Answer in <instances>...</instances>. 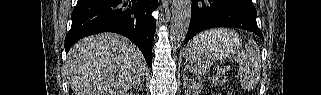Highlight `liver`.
I'll list each match as a JSON object with an SVG mask.
<instances>
[{
  "instance_id": "1",
  "label": "liver",
  "mask_w": 321,
  "mask_h": 95,
  "mask_svg": "<svg viewBox=\"0 0 321 95\" xmlns=\"http://www.w3.org/2000/svg\"><path fill=\"white\" fill-rule=\"evenodd\" d=\"M65 67L74 95H126L142 81L146 62L125 37L102 33L78 41Z\"/></svg>"
}]
</instances>
